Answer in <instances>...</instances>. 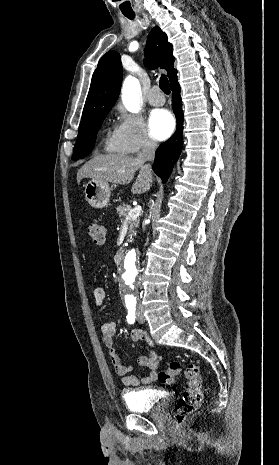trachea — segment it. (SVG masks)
Returning a JSON list of instances; mask_svg holds the SVG:
<instances>
[{
	"label": "trachea",
	"mask_w": 279,
	"mask_h": 465,
	"mask_svg": "<svg viewBox=\"0 0 279 465\" xmlns=\"http://www.w3.org/2000/svg\"><path fill=\"white\" fill-rule=\"evenodd\" d=\"M127 18L129 19H134L135 15H127V14H124ZM159 86L161 88V90L165 93V94H170V85H169V81H168V78L165 76V75H161L160 77V81H159Z\"/></svg>",
	"instance_id": "1"
}]
</instances>
